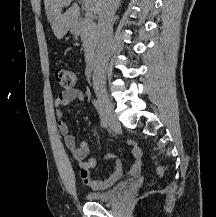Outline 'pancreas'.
Listing matches in <instances>:
<instances>
[{
  "label": "pancreas",
  "mask_w": 216,
  "mask_h": 217,
  "mask_svg": "<svg viewBox=\"0 0 216 217\" xmlns=\"http://www.w3.org/2000/svg\"><path fill=\"white\" fill-rule=\"evenodd\" d=\"M86 55L92 53L96 46L97 26L93 21L83 20L78 26Z\"/></svg>",
  "instance_id": "obj_1"
}]
</instances>
